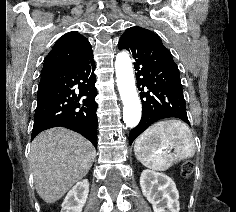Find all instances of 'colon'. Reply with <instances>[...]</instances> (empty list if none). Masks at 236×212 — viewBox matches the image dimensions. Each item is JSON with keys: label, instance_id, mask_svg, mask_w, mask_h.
I'll use <instances>...</instances> for the list:
<instances>
[{"label": "colon", "instance_id": "colon-1", "mask_svg": "<svg viewBox=\"0 0 236 212\" xmlns=\"http://www.w3.org/2000/svg\"><path fill=\"white\" fill-rule=\"evenodd\" d=\"M193 171V165L191 162H185L182 166L181 173L184 177H188L191 175Z\"/></svg>", "mask_w": 236, "mask_h": 212}]
</instances>
